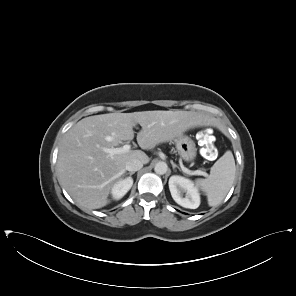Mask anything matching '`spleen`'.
Masks as SVG:
<instances>
[{
    "label": "spleen",
    "mask_w": 296,
    "mask_h": 296,
    "mask_svg": "<svg viewBox=\"0 0 296 296\" xmlns=\"http://www.w3.org/2000/svg\"><path fill=\"white\" fill-rule=\"evenodd\" d=\"M235 161L231 151H226L211 167L206 179H197L195 184L206 195L209 206L220 204L229 192L235 177Z\"/></svg>",
    "instance_id": "obj_1"
}]
</instances>
